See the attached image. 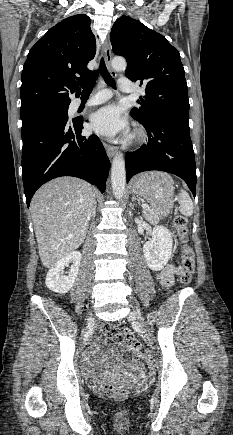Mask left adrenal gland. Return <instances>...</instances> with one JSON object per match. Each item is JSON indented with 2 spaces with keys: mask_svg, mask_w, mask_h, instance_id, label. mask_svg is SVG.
<instances>
[{
  "mask_svg": "<svg viewBox=\"0 0 233 435\" xmlns=\"http://www.w3.org/2000/svg\"><path fill=\"white\" fill-rule=\"evenodd\" d=\"M134 201H137V202H138V205H140L139 200L135 197L134 194H132V202H134Z\"/></svg>",
  "mask_w": 233,
  "mask_h": 435,
  "instance_id": "1",
  "label": "left adrenal gland"
}]
</instances>
